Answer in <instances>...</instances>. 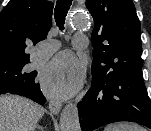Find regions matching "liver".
I'll return each instance as SVG.
<instances>
[{"label": "liver", "instance_id": "1", "mask_svg": "<svg viewBox=\"0 0 151 131\" xmlns=\"http://www.w3.org/2000/svg\"><path fill=\"white\" fill-rule=\"evenodd\" d=\"M45 109L33 101L17 96H0V131H35Z\"/></svg>", "mask_w": 151, "mask_h": 131}]
</instances>
